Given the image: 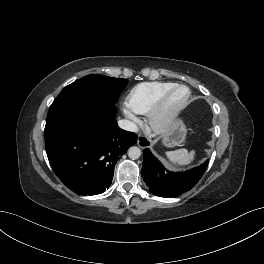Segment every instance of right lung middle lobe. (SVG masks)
<instances>
[{
	"label": "right lung middle lobe",
	"instance_id": "dd1d6c3e",
	"mask_svg": "<svg viewBox=\"0 0 264 264\" xmlns=\"http://www.w3.org/2000/svg\"><path fill=\"white\" fill-rule=\"evenodd\" d=\"M126 79L112 78L99 74L87 75L66 86L49 108L47 120L62 112L67 106L83 100L117 102Z\"/></svg>",
	"mask_w": 264,
	"mask_h": 264
}]
</instances>
